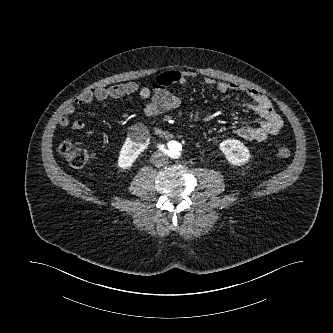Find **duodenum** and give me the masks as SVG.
Instances as JSON below:
<instances>
[{"mask_svg":"<svg viewBox=\"0 0 333 333\" xmlns=\"http://www.w3.org/2000/svg\"><path fill=\"white\" fill-rule=\"evenodd\" d=\"M156 132L163 138L169 139L172 137V135L170 133H168L167 131H164L162 129H157Z\"/></svg>","mask_w":333,"mask_h":333,"instance_id":"410a0bca","label":"duodenum"}]
</instances>
